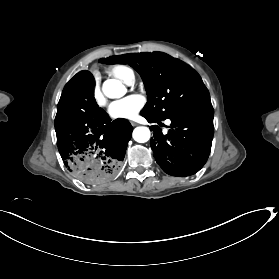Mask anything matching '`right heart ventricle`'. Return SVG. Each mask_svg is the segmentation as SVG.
<instances>
[{
  "label": "right heart ventricle",
  "mask_w": 279,
  "mask_h": 279,
  "mask_svg": "<svg viewBox=\"0 0 279 279\" xmlns=\"http://www.w3.org/2000/svg\"><path fill=\"white\" fill-rule=\"evenodd\" d=\"M106 72L110 76L125 84H131L134 81L133 70L125 65L111 66L106 70Z\"/></svg>",
  "instance_id": "e07e8e85"
}]
</instances>
